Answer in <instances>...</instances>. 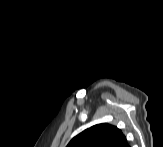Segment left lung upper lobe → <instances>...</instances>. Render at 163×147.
<instances>
[{"label":"left lung upper lobe","mask_w":163,"mask_h":147,"mask_svg":"<svg viewBox=\"0 0 163 147\" xmlns=\"http://www.w3.org/2000/svg\"><path fill=\"white\" fill-rule=\"evenodd\" d=\"M123 133L107 123L94 125L75 136L67 147H116Z\"/></svg>","instance_id":"obj_1"}]
</instances>
